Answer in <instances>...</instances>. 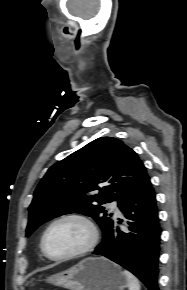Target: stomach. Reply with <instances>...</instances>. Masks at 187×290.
<instances>
[{
    "mask_svg": "<svg viewBox=\"0 0 187 290\" xmlns=\"http://www.w3.org/2000/svg\"><path fill=\"white\" fill-rule=\"evenodd\" d=\"M47 282L68 290H124L128 285L122 269L105 257H88Z\"/></svg>",
    "mask_w": 187,
    "mask_h": 290,
    "instance_id": "1",
    "label": "stomach"
}]
</instances>
